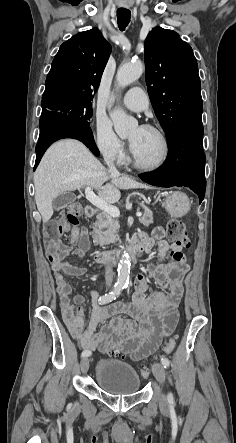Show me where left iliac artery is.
<instances>
[{
    "label": "left iliac artery",
    "mask_w": 236,
    "mask_h": 443,
    "mask_svg": "<svg viewBox=\"0 0 236 443\" xmlns=\"http://www.w3.org/2000/svg\"><path fill=\"white\" fill-rule=\"evenodd\" d=\"M162 365L164 366V368H168L169 367V360L167 358H162L161 359ZM167 399L169 402H173V395L171 393L168 394Z\"/></svg>",
    "instance_id": "44dca946"
}]
</instances>
